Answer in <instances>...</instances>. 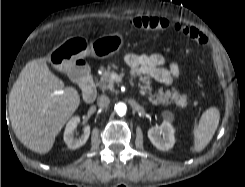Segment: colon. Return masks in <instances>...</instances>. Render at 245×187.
<instances>
[{"label":"colon","mask_w":245,"mask_h":187,"mask_svg":"<svg viewBox=\"0 0 245 187\" xmlns=\"http://www.w3.org/2000/svg\"><path fill=\"white\" fill-rule=\"evenodd\" d=\"M129 25L133 29L150 32H163L167 29L173 28L177 33H181L200 45H206L208 43L206 35L198 29L178 24L171 25L163 18L151 16L135 17L129 21Z\"/></svg>","instance_id":"colon-1"}]
</instances>
